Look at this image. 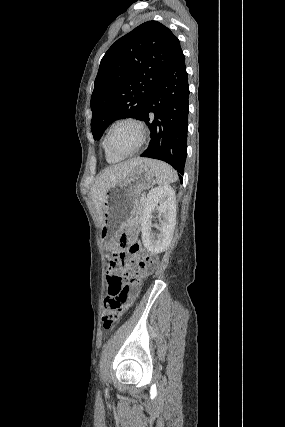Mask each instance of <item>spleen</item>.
<instances>
[{"mask_svg": "<svg viewBox=\"0 0 285 427\" xmlns=\"http://www.w3.org/2000/svg\"><path fill=\"white\" fill-rule=\"evenodd\" d=\"M145 165H147L153 172L156 182L160 185H168L176 182L178 176L174 169L168 164L152 159H145Z\"/></svg>", "mask_w": 285, "mask_h": 427, "instance_id": "1", "label": "spleen"}]
</instances>
